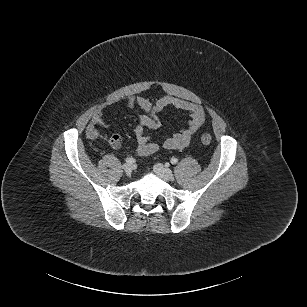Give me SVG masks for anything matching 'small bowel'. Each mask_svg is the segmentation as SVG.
I'll use <instances>...</instances> for the list:
<instances>
[{
    "instance_id": "1",
    "label": "small bowel",
    "mask_w": 307,
    "mask_h": 307,
    "mask_svg": "<svg viewBox=\"0 0 307 307\" xmlns=\"http://www.w3.org/2000/svg\"><path fill=\"white\" fill-rule=\"evenodd\" d=\"M126 104L129 108L134 109L138 115V124L134 129V134L137 141L136 151L141 156L152 155L159 149V145L150 140V136L145 129L155 130L160 127L158 113L163 109L171 107L186 112L190 117L185 128L164 140L163 147L168 150L186 148L205 120L204 111L200 105L176 97L164 96L153 103L145 97L130 96L127 98ZM101 125L102 111L96 110L87 127V136L90 139L104 138L98 131Z\"/></svg>"
}]
</instances>
